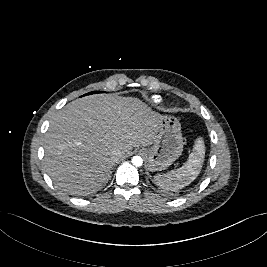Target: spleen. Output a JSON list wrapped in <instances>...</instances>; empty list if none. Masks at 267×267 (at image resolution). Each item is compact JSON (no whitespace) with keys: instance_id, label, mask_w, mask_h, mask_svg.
I'll use <instances>...</instances> for the list:
<instances>
[{"instance_id":"3e777b00","label":"spleen","mask_w":267,"mask_h":267,"mask_svg":"<svg viewBox=\"0 0 267 267\" xmlns=\"http://www.w3.org/2000/svg\"><path fill=\"white\" fill-rule=\"evenodd\" d=\"M205 156V145L199 137L193 147L192 153L184 165L166 174L155 176L156 182L163 188L170 190L181 189L189 185L200 173Z\"/></svg>"}]
</instances>
